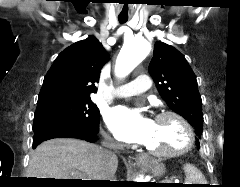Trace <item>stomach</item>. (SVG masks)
Wrapping results in <instances>:
<instances>
[{
  "label": "stomach",
  "instance_id": "1",
  "mask_svg": "<svg viewBox=\"0 0 240 187\" xmlns=\"http://www.w3.org/2000/svg\"><path fill=\"white\" fill-rule=\"evenodd\" d=\"M155 176H162L165 173V165L157 160H151L147 165Z\"/></svg>",
  "mask_w": 240,
  "mask_h": 187
}]
</instances>
